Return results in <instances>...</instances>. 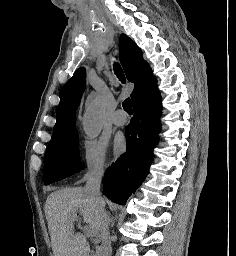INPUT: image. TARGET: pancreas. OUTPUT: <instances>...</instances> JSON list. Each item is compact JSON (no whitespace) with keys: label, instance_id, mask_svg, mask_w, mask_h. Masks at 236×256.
I'll return each mask as SVG.
<instances>
[{"label":"pancreas","instance_id":"cf45deb5","mask_svg":"<svg viewBox=\"0 0 236 256\" xmlns=\"http://www.w3.org/2000/svg\"><path fill=\"white\" fill-rule=\"evenodd\" d=\"M95 241H98V238H95Z\"/></svg>","mask_w":236,"mask_h":256}]
</instances>
